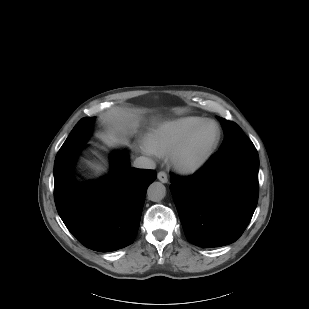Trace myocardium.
Wrapping results in <instances>:
<instances>
[{"instance_id":"obj_1","label":"myocardium","mask_w":309,"mask_h":309,"mask_svg":"<svg viewBox=\"0 0 309 309\" xmlns=\"http://www.w3.org/2000/svg\"><path fill=\"white\" fill-rule=\"evenodd\" d=\"M207 125H214L217 130V134L213 142L207 147V149L197 158L191 160L185 156V152L195 138V136ZM222 137V131L219 124L214 120L202 121L196 125L175 147L170 155L171 163L173 167L185 174L195 173L201 170L211 159L215 150L217 149Z\"/></svg>"}]
</instances>
